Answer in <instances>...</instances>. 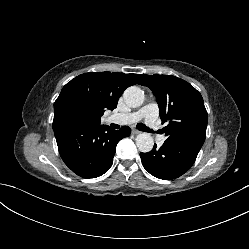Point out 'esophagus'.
I'll use <instances>...</instances> for the list:
<instances>
[{"mask_svg": "<svg viewBox=\"0 0 249 249\" xmlns=\"http://www.w3.org/2000/svg\"><path fill=\"white\" fill-rule=\"evenodd\" d=\"M132 133L133 134H140L141 131L137 130L136 128H132Z\"/></svg>", "mask_w": 249, "mask_h": 249, "instance_id": "1", "label": "esophagus"}]
</instances>
